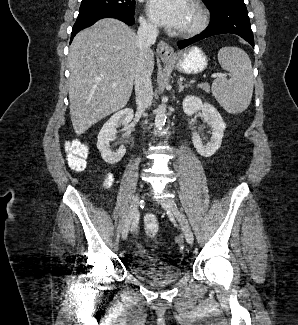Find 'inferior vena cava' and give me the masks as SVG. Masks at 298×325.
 Segmentation results:
<instances>
[{
    "label": "inferior vena cava",
    "mask_w": 298,
    "mask_h": 325,
    "mask_svg": "<svg viewBox=\"0 0 298 325\" xmlns=\"http://www.w3.org/2000/svg\"><path fill=\"white\" fill-rule=\"evenodd\" d=\"M158 28L152 22L140 20L137 30L139 44V58L137 60L136 76L134 78L137 112L143 114L149 108L153 100V86L151 68L147 66L151 44H155L158 36Z\"/></svg>",
    "instance_id": "602c4592"
}]
</instances>
